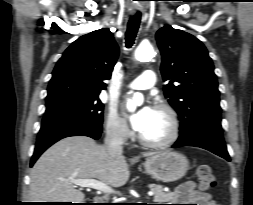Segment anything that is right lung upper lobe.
<instances>
[{
  "label": "right lung upper lobe",
  "instance_id": "1",
  "mask_svg": "<svg viewBox=\"0 0 253 205\" xmlns=\"http://www.w3.org/2000/svg\"><path fill=\"white\" fill-rule=\"evenodd\" d=\"M119 54L113 34L99 29L74 41L57 62L47 101L72 95H99Z\"/></svg>",
  "mask_w": 253,
  "mask_h": 205
}]
</instances>
